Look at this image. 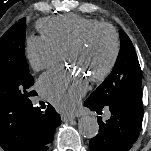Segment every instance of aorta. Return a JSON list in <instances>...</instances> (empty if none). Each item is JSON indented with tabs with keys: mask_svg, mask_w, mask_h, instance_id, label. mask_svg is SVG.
Segmentation results:
<instances>
[{
	"mask_svg": "<svg viewBox=\"0 0 151 151\" xmlns=\"http://www.w3.org/2000/svg\"><path fill=\"white\" fill-rule=\"evenodd\" d=\"M80 134L87 139L94 138L99 132L97 119L92 116H84L78 123Z\"/></svg>",
	"mask_w": 151,
	"mask_h": 151,
	"instance_id": "aorta-1",
	"label": "aorta"
}]
</instances>
